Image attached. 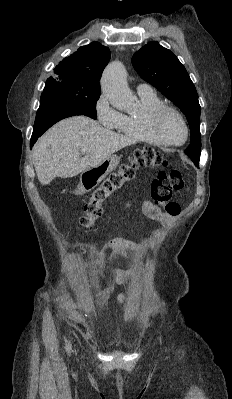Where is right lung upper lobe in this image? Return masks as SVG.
<instances>
[{"instance_id": "cb5924a9", "label": "right lung upper lobe", "mask_w": 232, "mask_h": 399, "mask_svg": "<svg viewBox=\"0 0 232 399\" xmlns=\"http://www.w3.org/2000/svg\"><path fill=\"white\" fill-rule=\"evenodd\" d=\"M110 50L98 42L80 47L54 69L55 76L47 81H57L68 86L90 91H100L99 80L110 60Z\"/></svg>"}]
</instances>
